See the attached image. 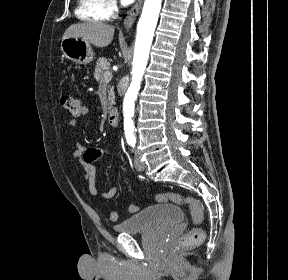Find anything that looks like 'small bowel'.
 Returning a JSON list of instances; mask_svg holds the SVG:
<instances>
[{
  "label": "small bowel",
  "mask_w": 288,
  "mask_h": 280,
  "mask_svg": "<svg viewBox=\"0 0 288 280\" xmlns=\"http://www.w3.org/2000/svg\"><path fill=\"white\" fill-rule=\"evenodd\" d=\"M89 114V109L86 106L82 107L81 116H86ZM70 128L74 129L77 125L75 119H71L68 122ZM106 150L99 148H85L81 145L77 146V149L74 151L73 156L81 161L82 166L85 171V179L89 186V191L91 195L101 197L104 199L113 198L119 191V186H113L107 191L100 190L95 184V173L96 168L94 163L101 158L103 155L108 154Z\"/></svg>",
  "instance_id": "1"
}]
</instances>
